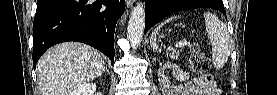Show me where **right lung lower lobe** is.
I'll return each mask as SVG.
<instances>
[{
  "instance_id": "1",
  "label": "right lung lower lobe",
  "mask_w": 277,
  "mask_h": 95,
  "mask_svg": "<svg viewBox=\"0 0 277 95\" xmlns=\"http://www.w3.org/2000/svg\"><path fill=\"white\" fill-rule=\"evenodd\" d=\"M125 0H38L33 23V65L52 45L77 41L114 62V31Z\"/></svg>"
}]
</instances>
